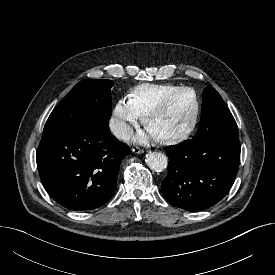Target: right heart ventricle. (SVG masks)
Masks as SVG:
<instances>
[{
	"mask_svg": "<svg viewBox=\"0 0 275 275\" xmlns=\"http://www.w3.org/2000/svg\"><path fill=\"white\" fill-rule=\"evenodd\" d=\"M179 86L173 84L143 83L131 89L128 103L139 117L146 114L169 92Z\"/></svg>",
	"mask_w": 275,
	"mask_h": 275,
	"instance_id": "1",
	"label": "right heart ventricle"
}]
</instances>
